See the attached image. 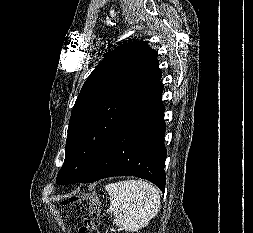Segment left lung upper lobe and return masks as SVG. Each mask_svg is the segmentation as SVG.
Masks as SVG:
<instances>
[{
  "label": "left lung upper lobe",
  "mask_w": 253,
  "mask_h": 233,
  "mask_svg": "<svg viewBox=\"0 0 253 233\" xmlns=\"http://www.w3.org/2000/svg\"><path fill=\"white\" fill-rule=\"evenodd\" d=\"M157 56L147 41H130L99 62L71 112L57 184L78 182L89 172L117 124L161 78Z\"/></svg>",
  "instance_id": "left-lung-upper-lobe-1"
}]
</instances>
